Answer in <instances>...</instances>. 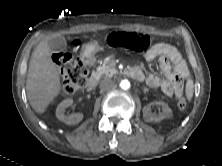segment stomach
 Returning <instances> with one entry per match:
<instances>
[{
  "label": "stomach",
  "instance_id": "stomach-1",
  "mask_svg": "<svg viewBox=\"0 0 222 166\" xmlns=\"http://www.w3.org/2000/svg\"><path fill=\"white\" fill-rule=\"evenodd\" d=\"M100 48L101 47L97 42L89 43L85 46L83 54L85 57H91L98 52Z\"/></svg>",
  "mask_w": 222,
  "mask_h": 166
}]
</instances>
